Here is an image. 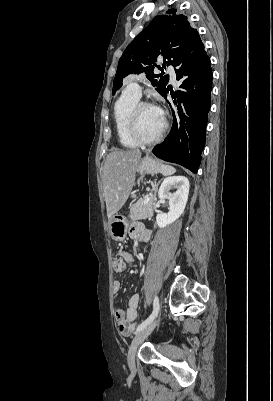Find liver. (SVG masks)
<instances>
[{
	"instance_id": "obj_1",
	"label": "liver",
	"mask_w": 273,
	"mask_h": 401,
	"mask_svg": "<svg viewBox=\"0 0 273 401\" xmlns=\"http://www.w3.org/2000/svg\"><path fill=\"white\" fill-rule=\"evenodd\" d=\"M142 152L114 148L106 156L103 168V190L107 217L120 211L132 190Z\"/></svg>"
}]
</instances>
